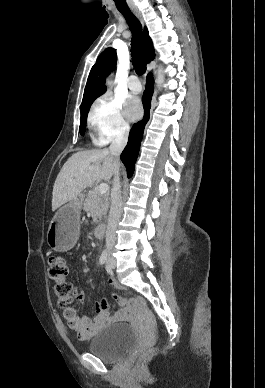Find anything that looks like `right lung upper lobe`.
Listing matches in <instances>:
<instances>
[{
  "mask_svg": "<svg viewBox=\"0 0 265 388\" xmlns=\"http://www.w3.org/2000/svg\"><path fill=\"white\" fill-rule=\"evenodd\" d=\"M144 44L146 49L147 61L154 59L155 53L152 41L148 35L147 30H144ZM117 54L112 47L106 48L98 57L96 63L92 67L86 87L84 90L83 100L81 106L87 101L98 97L105 93V77L107 73L113 70L116 66Z\"/></svg>",
  "mask_w": 265,
  "mask_h": 388,
  "instance_id": "right-lung-upper-lobe-1",
  "label": "right lung upper lobe"
}]
</instances>
